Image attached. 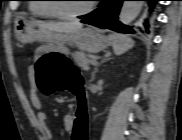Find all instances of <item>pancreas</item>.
<instances>
[{
  "instance_id": "cf45deb5",
  "label": "pancreas",
  "mask_w": 182,
  "mask_h": 140,
  "mask_svg": "<svg viewBox=\"0 0 182 140\" xmlns=\"http://www.w3.org/2000/svg\"><path fill=\"white\" fill-rule=\"evenodd\" d=\"M72 57L74 58L75 62L83 69L88 70L90 60L87 58L85 53L83 52H75L72 54Z\"/></svg>"
}]
</instances>
